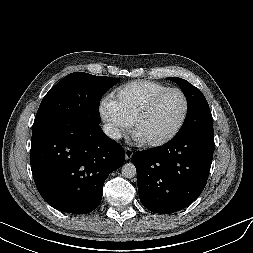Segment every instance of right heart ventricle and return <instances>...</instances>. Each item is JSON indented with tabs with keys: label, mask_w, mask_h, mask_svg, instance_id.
I'll return each mask as SVG.
<instances>
[{
	"label": "right heart ventricle",
	"mask_w": 253,
	"mask_h": 253,
	"mask_svg": "<svg viewBox=\"0 0 253 253\" xmlns=\"http://www.w3.org/2000/svg\"><path fill=\"white\" fill-rule=\"evenodd\" d=\"M169 86L153 80L131 81L115 91L114 101L125 121L131 125L146 103Z\"/></svg>",
	"instance_id": "obj_1"
}]
</instances>
